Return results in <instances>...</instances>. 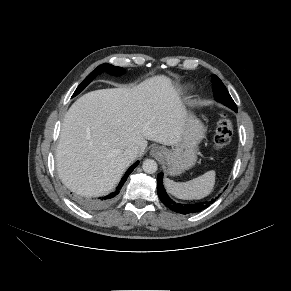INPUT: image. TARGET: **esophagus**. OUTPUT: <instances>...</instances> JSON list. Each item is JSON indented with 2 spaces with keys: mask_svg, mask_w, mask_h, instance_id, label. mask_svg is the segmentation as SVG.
<instances>
[{
  "mask_svg": "<svg viewBox=\"0 0 291 291\" xmlns=\"http://www.w3.org/2000/svg\"><path fill=\"white\" fill-rule=\"evenodd\" d=\"M153 153H159L160 152V148H158V147H155L154 149H153V151H152Z\"/></svg>",
  "mask_w": 291,
  "mask_h": 291,
  "instance_id": "34e87169",
  "label": "esophagus"
}]
</instances>
